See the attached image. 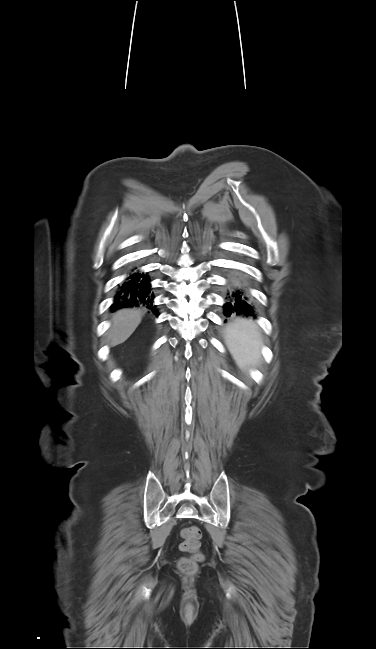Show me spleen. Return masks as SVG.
Masks as SVG:
<instances>
[{
	"instance_id": "3e777b00",
	"label": "spleen",
	"mask_w": 376,
	"mask_h": 649,
	"mask_svg": "<svg viewBox=\"0 0 376 649\" xmlns=\"http://www.w3.org/2000/svg\"><path fill=\"white\" fill-rule=\"evenodd\" d=\"M226 343L237 363L244 367L254 365L260 357L262 343L257 324L248 319L237 318L226 328Z\"/></svg>"
}]
</instances>
